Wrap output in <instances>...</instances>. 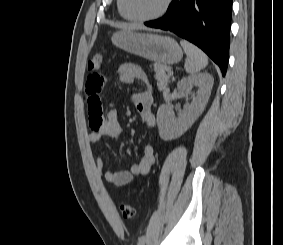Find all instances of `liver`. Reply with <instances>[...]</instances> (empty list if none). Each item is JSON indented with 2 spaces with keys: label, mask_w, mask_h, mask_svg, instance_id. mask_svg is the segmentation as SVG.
<instances>
[{
  "label": "liver",
  "mask_w": 283,
  "mask_h": 245,
  "mask_svg": "<svg viewBox=\"0 0 283 245\" xmlns=\"http://www.w3.org/2000/svg\"><path fill=\"white\" fill-rule=\"evenodd\" d=\"M114 26L121 28L122 30H134V29H136V26L132 25V24H115Z\"/></svg>",
  "instance_id": "liver-1"
}]
</instances>
